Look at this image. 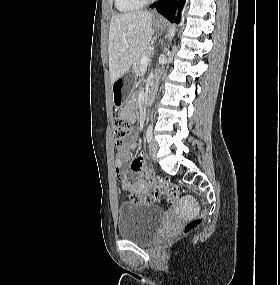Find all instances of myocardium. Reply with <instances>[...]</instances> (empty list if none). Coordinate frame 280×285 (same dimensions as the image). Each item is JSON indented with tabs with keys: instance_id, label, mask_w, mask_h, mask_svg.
<instances>
[{
	"instance_id": "f54148a6",
	"label": "myocardium",
	"mask_w": 280,
	"mask_h": 285,
	"mask_svg": "<svg viewBox=\"0 0 280 285\" xmlns=\"http://www.w3.org/2000/svg\"><path fill=\"white\" fill-rule=\"evenodd\" d=\"M139 1L142 2V3H149V2H151L153 0H139Z\"/></svg>"
}]
</instances>
